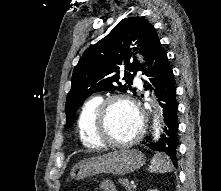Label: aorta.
<instances>
[{
	"mask_svg": "<svg viewBox=\"0 0 221 191\" xmlns=\"http://www.w3.org/2000/svg\"><path fill=\"white\" fill-rule=\"evenodd\" d=\"M140 60H142L141 57H139ZM153 126H154V140L157 141L160 137V120H159V117L157 114H155V117H154V121H153Z\"/></svg>",
	"mask_w": 221,
	"mask_h": 191,
	"instance_id": "obj_1",
	"label": "aorta"
}]
</instances>
